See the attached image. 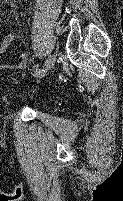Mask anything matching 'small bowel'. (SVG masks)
Segmentation results:
<instances>
[{
	"label": "small bowel",
	"mask_w": 123,
	"mask_h": 201,
	"mask_svg": "<svg viewBox=\"0 0 123 201\" xmlns=\"http://www.w3.org/2000/svg\"><path fill=\"white\" fill-rule=\"evenodd\" d=\"M15 34H8L0 43V56L8 49L9 45L14 41ZM28 63V55L23 52L17 62L8 63L0 66V71L21 70L26 67Z\"/></svg>",
	"instance_id": "small-bowel-1"
}]
</instances>
